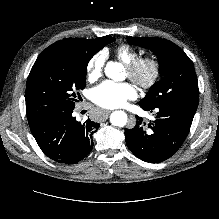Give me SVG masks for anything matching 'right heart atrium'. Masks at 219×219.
<instances>
[{
  "instance_id": "d8ad5b80",
  "label": "right heart atrium",
  "mask_w": 219,
  "mask_h": 219,
  "mask_svg": "<svg viewBox=\"0 0 219 219\" xmlns=\"http://www.w3.org/2000/svg\"><path fill=\"white\" fill-rule=\"evenodd\" d=\"M105 64V54L99 52L95 54L87 64V78L93 82L98 80L102 74Z\"/></svg>"
}]
</instances>
